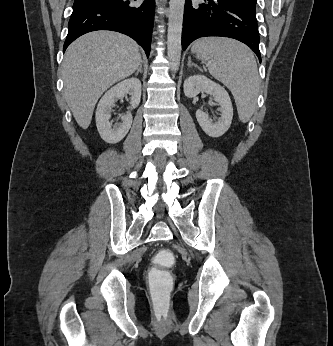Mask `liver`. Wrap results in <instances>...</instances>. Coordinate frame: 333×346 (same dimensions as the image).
Segmentation results:
<instances>
[{
	"label": "liver",
	"instance_id": "1",
	"mask_svg": "<svg viewBox=\"0 0 333 346\" xmlns=\"http://www.w3.org/2000/svg\"><path fill=\"white\" fill-rule=\"evenodd\" d=\"M141 63L139 46L112 31H94L76 39L63 60L64 96L83 129L91 123L95 105L111 85L132 75Z\"/></svg>",
	"mask_w": 333,
	"mask_h": 346
}]
</instances>
